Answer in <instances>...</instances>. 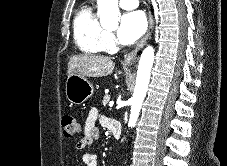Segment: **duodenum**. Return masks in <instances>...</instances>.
I'll use <instances>...</instances> for the list:
<instances>
[{"instance_id": "obj_1", "label": "duodenum", "mask_w": 227, "mask_h": 166, "mask_svg": "<svg viewBox=\"0 0 227 166\" xmlns=\"http://www.w3.org/2000/svg\"><path fill=\"white\" fill-rule=\"evenodd\" d=\"M109 128L116 139H119L122 134V127L120 122L117 119L109 120Z\"/></svg>"}]
</instances>
